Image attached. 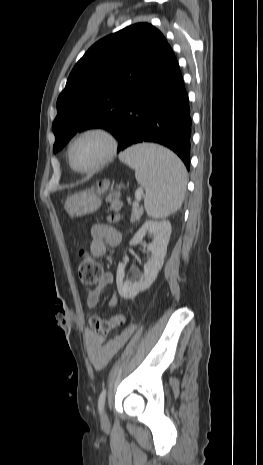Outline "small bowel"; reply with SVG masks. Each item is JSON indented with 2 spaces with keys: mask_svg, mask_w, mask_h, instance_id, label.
<instances>
[{
  "mask_svg": "<svg viewBox=\"0 0 263 465\" xmlns=\"http://www.w3.org/2000/svg\"><path fill=\"white\" fill-rule=\"evenodd\" d=\"M91 252L95 257H102L106 254L107 247H113L120 243V232L104 223H96L91 228ZM113 276L106 272L102 275L100 282L95 290L87 294L86 303L88 309H94L99 303L102 290L105 286L111 284ZM109 306L114 308L119 304V297L113 295L109 302ZM137 325H129L128 329L108 339L105 335L95 332L91 329L85 331V344L87 347L88 357L97 370L103 369L117 353L120 347L126 342L130 334H134L137 330Z\"/></svg>",
  "mask_w": 263,
  "mask_h": 465,
  "instance_id": "1",
  "label": "small bowel"
}]
</instances>
